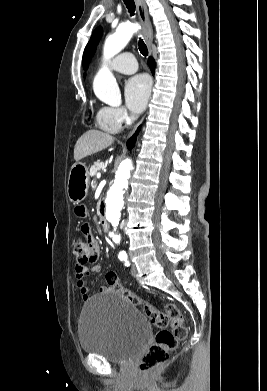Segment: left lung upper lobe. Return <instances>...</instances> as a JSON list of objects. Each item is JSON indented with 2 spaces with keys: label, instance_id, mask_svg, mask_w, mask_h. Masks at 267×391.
Returning a JSON list of instances; mask_svg holds the SVG:
<instances>
[{
  "label": "left lung upper lobe",
  "instance_id": "left-lung-upper-lobe-1",
  "mask_svg": "<svg viewBox=\"0 0 267 391\" xmlns=\"http://www.w3.org/2000/svg\"><path fill=\"white\" fill-rule=\"evenodd\" d=\"M102 36V28L98 27L92 34L90 41L88 42L83 55V66L84 68L87 67V64L91 58V56L94 54L96 45L98 44L100 38Z\"/></svg>",
  "mask_w": 267,
  "mask_h": 391
}]
</instances>
